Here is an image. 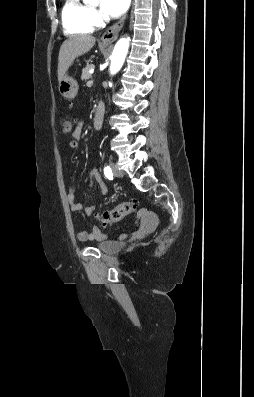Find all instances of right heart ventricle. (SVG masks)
<instances>
[{
  "label": "right heart ventricle",
  "instance_id": "1",
  "mask_svg": "<svg viewBox=\"0 0 254 397\" xmlns=\"http://www.w3.org/2000/svg\"><path fill=\"white\" fill-rule=\"evenodd\" d=\"M61 19L63 31L69 36L89 34L95 27L91 8L81 0H64Z\"/></svg>",
  "mask_w": 254,
  "mask_h": 397
}]
</instances>
